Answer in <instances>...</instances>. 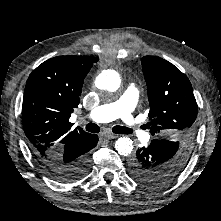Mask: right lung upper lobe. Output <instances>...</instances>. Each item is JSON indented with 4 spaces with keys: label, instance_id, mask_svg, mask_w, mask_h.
Segmentation results:
<instances>
[{
    "label": "right lung upper lobe",
    "instance_id": "1",
    "mask_svg": "<svg viewBox=\"0 0 221 221\" xmlns=\"http://www.w3.org/2000/svg\"><path fill=\"white\" fill-rule=\"evenodd\" d=\"M97 57L58 56L39 65L29 76L23 97V129L34 155L83 145L91 134L72 129L69 118L78 107L83 81Z\"/></svg>",
    "mask_w": 221,
    "mask_h": 221
}]
</instances>
